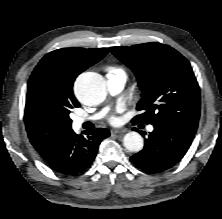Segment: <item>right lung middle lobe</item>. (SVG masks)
<instances>
[{
  "instance_id": "right-lung-middle-lobe-1",
  "label": "right lung middle lobe",
  "mask_w": 222,
  "mask_h": 219,
  "mask_svg": "<svg viewBox=\"0 0 222 219\" xmlns=\"http://www.w3.org/2000/svg\"><path fill=\"white\" fill-rule=\"evenodd\" d=\"M49 80L50 75L46 71L39 72L35 77L33 82V89L36 94L35 105L47 115L71 122L72 120L69 118L70 110L79 107V103L74 99H58L52 96Z\"/></svg>"
}]
</instances>
